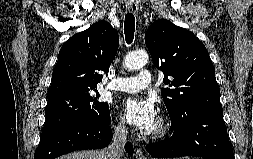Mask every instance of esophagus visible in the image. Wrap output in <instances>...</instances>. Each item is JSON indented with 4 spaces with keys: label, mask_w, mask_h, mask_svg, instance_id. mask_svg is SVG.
Returning <instances> with one entry per match:
<instances>
[{
    "label": "esophagus",
    "mask_w": 253,
    "mask_h": 159,
    "mask_svg": "<svg viewBox=\"0 0 253 159\" xmlns=\"http://www.w3.org/2000/svg\"><path fill=\"white\" fill-rule=\"evenodd\" d=\"M126 7L134 15L137 14L139 9V5L136 0H129L126 4ZM136 159H147L143 151L139 148L136 150Z\"/></svg>",
    "instance_id": "esophagus-1"
}]
</instances>
